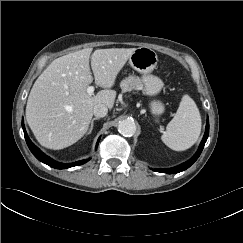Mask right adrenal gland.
<instances>
[{"instance_id":"1","label":"right adrenal gland","mask_w":243,"mask_h":243,"mask_svg":"<svg viewBox=\"0 0 243 243\" xmlns=\"http://www.w3.org/2000/svg\"><path fill=\"white\" fill-rule=\"evenodd\" d=\"M98 119H99V118L95 117V118H93V119L91 120L90 129H89L87 135H89V134L92 132V130H93V126H94V121H95V120H98Z\"/></svg>"}]
</instances>
